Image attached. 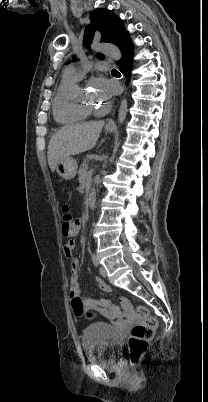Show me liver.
<instances>
[{"instance_id":"6515ba94","label":"liver","mask_w":208,"mask_h":402,"mask_svg":"<svg viewBox=\"0 0 208 402\" xmlns=\"http://www.w3.org/2000/svg\"><path fill=\"white\" fill-rule=\"evenodd\" d=\"M103 126L104 122L100 120L86 124H71L56 132L48 146L47 156L51 172H55L58 162L67 156H76L94 148Z\"/></svg>"}]
</instances>
